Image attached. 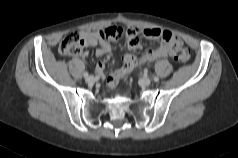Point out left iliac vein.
<instances>
[{
  "instance_id": "obj_1",
  "label": "left iliac vein",
  "mask_w": 238,
  "mask_h": 158,
  "mask_svg": "<svg viewBox=\"0 0 238 158\" xmlns=\"http://www.w3.org/2000/svg\"><path fill=\"white\" fill-rule=\"evenodd\" d=\"M141 82H142L143 85L149 86L151 84V79L150 78H143Z\"/></svg>"
}]
</instances>
